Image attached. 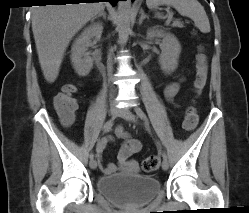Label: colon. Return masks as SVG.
<instances>
[{
    "label": "colon",
    "instance_id": "5ec220e1",
    "mask_svg": "<svg viewBox=\"0 0 249 213\" xmlns=\"http://www.w3.org/2000/svg\"><path fill=\"white\" fill-rule=\"evenodd\" d=\"M196 75L194 79L195 92L199 93L205 86L207 79V58L203 51L197 56ZM76 87L74 85H65L63 91L54 98V107L63 120L70 123L74 120L77 110V102L74 97ZM198 123V114L193 106H189L184 115L183 128L187 131L193 130ZM160 159L151 155L146 157L142 162V169L145 172H153L159 168Z\"/></svg>",
    "mask_w": 249,
    "mask_h": 213
}]
</instances>
